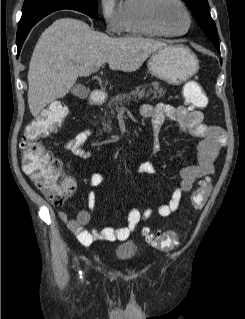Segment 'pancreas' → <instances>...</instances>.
Masks as SVG:
<instances>
[{"label": "pancreas", "mask_w": 245, "mask_h": 319, "mask_svg": "<svg viewBox=\"0 0 245 319\" xmlns=\"http://www.w3.org/2000/svg\"><path fill=\"white\" fill-rule=\"evenodd\" d=\"M149 88V92L153 94L151 99H160L164 96L165 90L163 87H159V83L157 81L152 82ZM145 85L137 86L134 90L129 93L118 94L115 97L111 98L107 107L109 109V113L114 115L115 111L120 109V105L125 101L136 100L137 98H142L145 95ZM106 115V112H105ZM110 121L103 122L104 131L110 132L112 131L111 125H109Z\"/></svg>", "instance_id": "pancreas-1"}]
</instances>
